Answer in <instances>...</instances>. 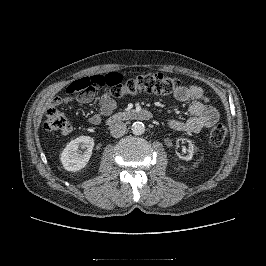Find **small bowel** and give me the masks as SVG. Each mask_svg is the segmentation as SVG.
Segmentation results:
<instances>
[{"instance_id": "1", "label": "small bowel", "mask_w": 266, "mask_h": 266, "mask_svg": "<svg viewBox=\"0 0 266 266\" xmlns=\"http://www.w3.org/2000/svg\"><path fill=\"white\" fill-rule=\"evenodd\" d=\"M174 98L180 102H189L190 117L186 120H170L169 126L176 131L198 133L213 126L219 120V112L210 104L204 90L197 85L180 86L174 93ZM95 99L94 92H87L76 97L55 98L54 103L68 104L79 102L87 104ZM99 110L94 113L89 121L98 125L103 117L110 115L116 107V102L108 93H103L98 98Z\"/></svg>"}]
</instances>
